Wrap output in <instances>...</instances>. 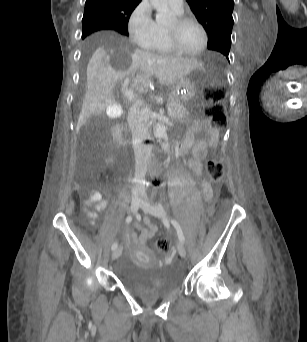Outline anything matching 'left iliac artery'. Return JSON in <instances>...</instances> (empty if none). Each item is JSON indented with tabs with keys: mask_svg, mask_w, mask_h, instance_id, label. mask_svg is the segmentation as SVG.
<instances>
[{
	"mask_svg": "<svg viewBox=\"0 0 307 342\" xmlns=\"http://www.w3.org/2000/svg\"><path fill=\"white\" fill-rule=\"evenodd\" d=\"M164 221H167V219H164ZM170 222L175 227L180 242L184 243L185 237H184V234H183L182 229L180 227V224L175 219H171Z\"/></svg>",
	"mask_w": 307,
	"mask_h": 342,
	"instance_id": "44dca946",
	"label": "left iliac artery"
}]
</instances>
